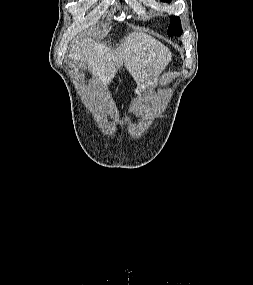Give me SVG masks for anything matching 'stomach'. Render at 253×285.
I'll return each mask as SVG.
<instances>
[{"label":"stomach","mask_w":253,"mask_h":285,"mask_svg":"<svg viewBox=\"0 0 253 285\" xmlns=\"http://www.w3.org/2000/svg\"><path fill=\"white\" fill-rule=\"evenodd\" d=\"M158 82H159V76L155 75V76L149 78L148 80H146L145 82L141 83L137 87L135 93L137 95H141L142 93L146 92L147 90L154 88L158 84Z\"/></svg>","instance_id":"1"}]
</instances>
